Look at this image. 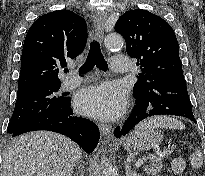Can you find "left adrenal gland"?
<instances>
[{
	"label": "left adrenal gland",
	"mask_w": 205,
	"mask_h": 176,
	"mask_svg": "<svg viewBox=\"0 0 205 176\" xmlns=\"http://www.w3.org/2000/svg\"><path fill=\"white\" fill-rule=\"evenodd\" d=\"M125 164V170H126V176H141L137 171L131 168L129 163L127 161L124 162Z\"/></svg>",
	"instance_id": "1"
}]
</instances>
